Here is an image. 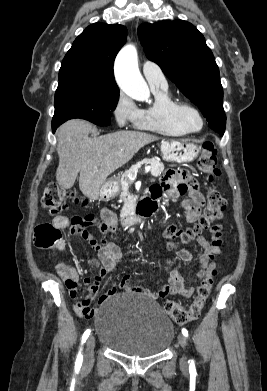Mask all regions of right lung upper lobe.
<instances>
[{
    "mask_svg": "<svg viewBox=\"0 0 267 391\" xmlns=\"http://www.w3.org/2000/svg\"><path fill=\"white\" fill-rule=\"evenodd\" d=\"M126 38L127 29L122 25L95 23L88 26L65 55L59 78L86 74L115 82L113 63Z\"/></svg>",
    "mask_w": 267,
    "mask_h": 391,
    "instance_id": "cb5924a9",
    "label": "right lung upper lobe"
}]
</instances>
